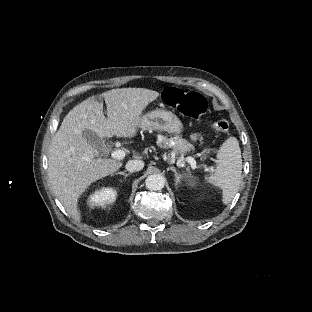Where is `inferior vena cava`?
I'll list each match as a JSON object with an SVG mask.
<instances>
[{
	"label": "inferior vena cava",
	"instance_id": "obj_1",
	"mask_svg": "<svg viewBox=\"0 0 312 312\" xmlns=\"http://www.w3.org/2000/svg\"><path fill=\"white\" fill-rule=\"evenodd\" d=\"M144 168L142 160H131L126 163V169L130 172H138Z\"/></svg>",
	"mask_w": 312,
	"mask_h": 312
}]
</instances>
